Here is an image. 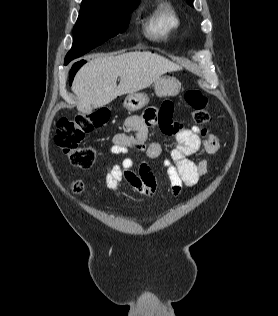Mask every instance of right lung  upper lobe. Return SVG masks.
I'll return each instance as SVG.
<instances>
[{
  "label": "right lung upper lobe",
  "instance_id": "1",
  "mask_svg": "<svg viewBox=\"0 0 278 316\" xmlns=\"http://www.w3.org/2000/svg\"><path fill=\"white\" fill-rule=\"evenodd\" d=\"M140 0H83L82 3H94V4H116L120 2H133Z\"/></svg>",
  "mask_w": 278,
  "mask_h": 316
}]
</instances>
